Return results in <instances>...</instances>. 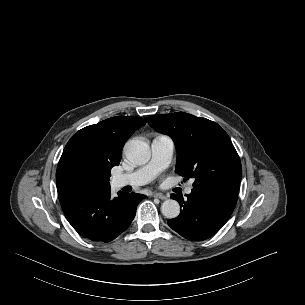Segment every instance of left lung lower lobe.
Instances as JSON below:
<instances>
[{"label":"left lung lower lobe","mask_w":305,"mask_h":305,"mask_svg":"<svg viewBox=\"0 0 305 305\" xmlns=\"http://www.w3.org/2000/svg\"><path fill=\"white\" fill-rule=\"evenodd\" d=\"M239 183L211 184L193 188L186 199L171 194L182 207L168 225L186 239L202 241L216 234L230 218L238 197Z\"/></svg>","instance_id":"0a47b994"}]
</instances>
